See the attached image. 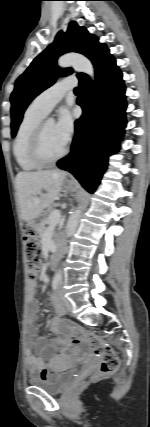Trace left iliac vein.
<instances>
[{"label": "left iliac vein", "mask_w": 150, "mask_h": 427, "mask_svg": "<svg viewBox=\"0 0 150 427\" xmlns=\"http://www.w3.org/2000/svg\"><path fill=\"white\" fill-rule=\"evenodd\" d=\"M58 295H59V298H60V300L62 302V305H64V307L68 311L72 312V310H73V304L71 303V301L68 300L67 298H65L64 295H63V293L61 291H59Z\"/></svg>", "instance_id": "left-iliac-vein-1"}]
</instances>
